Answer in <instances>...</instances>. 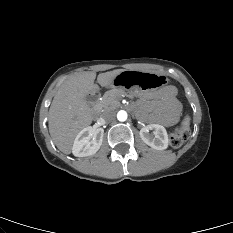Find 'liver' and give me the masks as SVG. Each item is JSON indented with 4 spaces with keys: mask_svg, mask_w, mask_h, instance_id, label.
Instances as JSON below:
<instances>
[{
    "mask_svg": "<svg viewBox=\"0 0 233 233\" xmlns=\"http://www.w3.org/2000/svg\"><path fill=\"white\" fill-rule=\"evenodd\" d=\"M125 70L100 73L97 81L108 87ZM95 72H83L66 80L55 94L49 109V132L57 148L70 154L78 132L92 123L91 108L86 96L98 89Z\"/></svg>",
    "mask_w": 233,
    "mask_h": 233,
    "instance_id": "liver-1",
    "label": "liver"
}]
</instances>
